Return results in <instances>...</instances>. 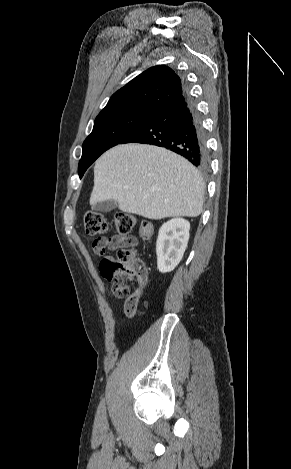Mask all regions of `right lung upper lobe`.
Masks as SVG:
<instances>
[{
    "label": "right lung upper lobe",
    "instance_id": "right-lung-upper-lobe-1",
    "mask_svg": "<svg viewBox=\"0 0 291 469\" xmlns=\"http://www.w3.org/2000/svg\"><path fill=\"white\" fill-rule=\"evenodd\" d=\"M183 92V81L171 68L164 65L154 66L114 93L98 116L127 110L154 113Z\"/></svg>",
    "mask_w": 291,
    "mask_h": 469
}]
</instances>
